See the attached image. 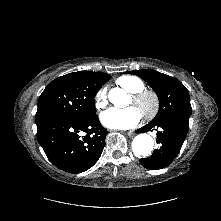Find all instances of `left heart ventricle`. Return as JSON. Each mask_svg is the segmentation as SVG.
Returning <instances> with one entry per match:
<instances>
[{"label": "left heart ventricle", "instance_id": "left-heart-ventricle-1", "mask_svg": "<svg viewBox=\"0 0 221 221\" xmlns=\"http://www.w3.org/2000/svg\"><path fill=\"white\" fill-rule=\"evenodd\" d=\"M130 104H134L133 99H131ZM148 105H149V103L146 102V103L144 104V106H142V107H138V106H137V107H138L139 111L142 112V110H143L144 108L148 107Z\"/></svg>", "mask_w": 221, "mask_h": 221}]
</instances>
